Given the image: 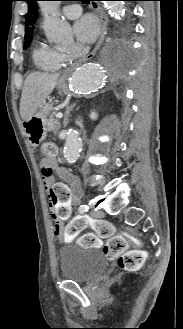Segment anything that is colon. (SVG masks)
<instances>
[{
    "mask_svg": "<svg viewBox=\"0 0 183 329\" xmlns=\"http://www.w3.org/2000/svg\"><path fill=\"white\" fill-rule=\"evenodd\" d=\"M57 152V145L53 142H46L41 147V154L44 160L53 159L57 155ZM43 176L46 179H50L52 176L51 168H45L43 170ZM49 195L51 198V194ZM87 225H91L95 233H88L82 236L80 244L85 247H102L104 255L109 259H117L121 269L128 271L135 270L148 258V252L140 248L138 241L124 235L114 234L113 226L107 221H87L83 218H76L68 223L64 234L67 238L75 237ZM100 239H106V243L102 245ZM130 242L135 244L137 249L127 251Z\"/></svg>",
    "mask_w": 183,
    "mask_h": 329,
    "instance_id": "1",
    "label": "colon"
}]
</instances>
